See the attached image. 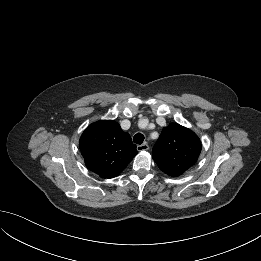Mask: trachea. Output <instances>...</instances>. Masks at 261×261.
Here are the masks:
<instances>
[{
  "label": "trachea",
  "mask_w": 261,
  "mask_h": 261,
  "mask_svg": "<svg viewBox=\"0 0 261 261\" xmlns=\"http://www.w3.org/2000/svg\"><path fill=\"white\" fill-rule=\"evenodd\" d=\"M144 141V135L141 133H137L135 134V136L133 137V142L136 144L141 145Z\"/></svg>",
  "instance_id": "1"
}]
</instances>
